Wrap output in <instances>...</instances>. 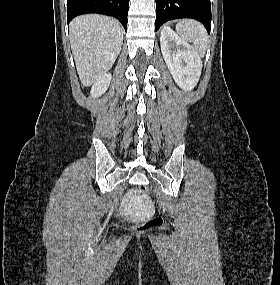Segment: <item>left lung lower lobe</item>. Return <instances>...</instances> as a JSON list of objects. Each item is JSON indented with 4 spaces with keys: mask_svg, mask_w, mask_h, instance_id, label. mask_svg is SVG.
<instances>
[{
    "mask_svg": "<svg viewBox=\"0 0 280 285\" xmlns=\"http://www.w3.org/2000/svg\"><path fill=\"white\" fill-rule=\"evenodd\" d=\"M179 18L196 19L210 33V0H156V31L165 22Z\"/></svg>",
    "mask_w": 280,
    "mask_h": 285,
    "instance_id": "left-lung-lower-lobe-1",
    "label": "left lung lower lobe"
}]
</instances>
